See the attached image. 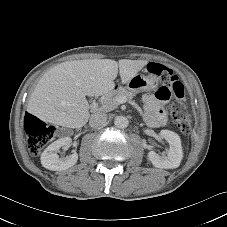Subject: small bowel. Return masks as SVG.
I'll list each match as a JSON object with an SVG mask.
<instances>
[{
  "label": "small bowel",
  "mask_w": 227,
  "mask_h": 227,
  "mask_svg": "<svg viewBox=\"0 0 227 227\" xmlns=\"http://www.w3.org/2000/svg\"><path fill=\"white\" fill-rule=\"evenodd\" d=\"M171 98V91L166 86H159L154 94H146L143 98L145 104V120L152 127H159L166 122V113L162 106Z\"/></svg>",
  "instance_id": "1"
}]
</instances>
